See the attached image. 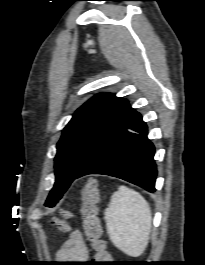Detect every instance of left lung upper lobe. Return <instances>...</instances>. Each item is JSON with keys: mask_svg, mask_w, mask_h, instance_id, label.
Returning a JSON list of instances; mask_svg holds the SVG:
<instances>
[{"mask_svg": "<svg viewBox=\"0 0 205 265\" xmlns=\"http://www.w3.org/2000/svg\"><path fill=\"white\" fill-rule=\"evenodd\" d=\"M128 101L98 94L83 104L63 130L55 157V184L45 206L54 207L80 170L135 114Z\"/></svg>", "mask_w": 205, "mask_h": 265, "instance_id": "left-lung-upper-lobe-1", "label": "left lung upper lobe"}]
</instances>
